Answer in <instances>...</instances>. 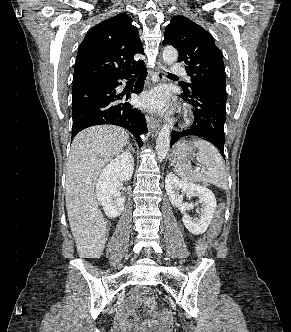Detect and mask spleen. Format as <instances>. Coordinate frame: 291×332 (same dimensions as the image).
<instances>
[{"label":"spleen","instance_id":"obj_1","mask_svg":"<svg viewBox=\"0 0 291 332\" xmlns=\"http://www.w3.org/2000/svg\"><path fill=\"white\" fill-rule=\"evenodd\" d=\"M194 145L199 149L197 160L206 166L207 172L203 174L197 170H192L191 165L188 163L174 166L177 175L186 182L206 180L219 188L227 189V174L223 158L219 151L206 140H196Z\"/></svg>","mask_w":291,"mask_h":332}]
</instances>
